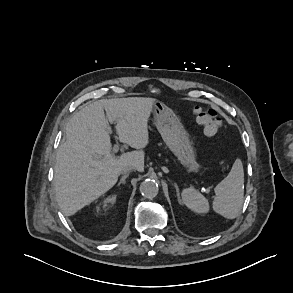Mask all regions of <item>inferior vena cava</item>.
Listing matches in <instances>:
<instances>
[{"mask_svg": "<svg viewBox=\"0 0 293 293\" xmlns=\"http://www.w3.org/2000/svg\"><path fill=\"white\" fill-rule=\"evenodd\" d=\"M135 166L134 165H125L121 168L120 173L121 174H128L129 172H131L132 170H135Z\"/></svg>", "mask_w": 293, "mask_h": 293, "instance_id": "1", "label": "inferior vena cava"}]
</instances>
